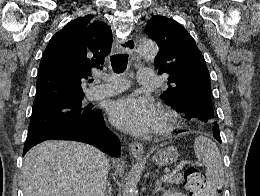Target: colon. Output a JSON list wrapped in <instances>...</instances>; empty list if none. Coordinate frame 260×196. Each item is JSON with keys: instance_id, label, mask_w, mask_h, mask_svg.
I'll return each mask as SVG.
<instances>
[{"instance_id": "5ec220e1", "label": "colon", "mask_w": 260, "mask_h": 196, "mask_svg": "<svg viewBox=\"0 0 260 196\" xmlns=\"http://www.w3.org/2000/svg\"><path fill=\"white\" fill-rule=\"evenodd\" d=\"M184 180L189 192L200 191L206 185L199 169L193 165H189L184 169Z\"/></svg>"}]
</instances>
